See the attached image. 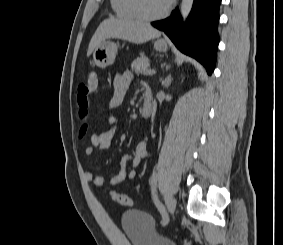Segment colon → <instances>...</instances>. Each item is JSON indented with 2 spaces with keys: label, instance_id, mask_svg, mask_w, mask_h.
I'll use <instances>...</instances> for the list:
<instances>
[{
  "label": "colon",
  "instance_id": "1",
  "mask_svg": "<svg viewBox=\"0 0 283 245\" xmlns=\"http://www.w3.org/2000/svg\"><path fill=\"white\" fill-rule=\"evenodd\" d=\"M98 86V76L95 72H91L86 82L79 86L78 93V105H79V116L82 120H86L89 116L90 110L93 106L94 95ZM88 131V125L85 123L80 129L81 137L84 136ZM112 199L123 205L130 207L133 205V201L127 195L113 191L111 193Z\"/></svg>",
  "mask_w": 283,
  "mask_h": 245
}]
</instances>
